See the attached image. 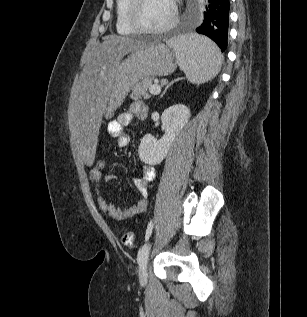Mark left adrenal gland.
Here are the masks:
<instances>
[{"label":"left adrenal gland","instance_id":"left-adrenal-gland-1","mask_svg":"<svg viewBox=\"0 0 307 317\" xmlns=\"http://www.w3.org/2000/svg\"><path fill=\"white\" fill-rule=\"evenodd\" d=\"M175 81H177V80H175ZM173 83H174V81H172L171 83H169V84L166 86V88H165V90H164L162 96L165 94L166 90H167Z\"/></svg>","mask_w":307,"mask_h":317}]
</instances>
